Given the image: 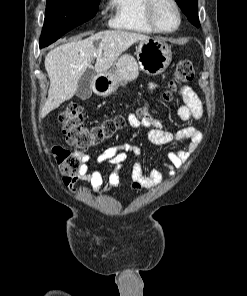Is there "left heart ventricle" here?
I'll return each mask as SVG.
<instances>
[{"instance_id":"obj_1","label":"left heart ventricle","mask_w":247,"mask_h":296,"mask_svg":"<svg viewBox=\"0 0 247 296\" xmlns=\"http://www.w3.org/2000/svg\"><path fill=\"white\" fill-rule=\"evenodd\" d=\"M155 17L160 28L170 30L175 27L177 17L174 8L165 0H160L155 8Z\"/></svg>"}]
</instances>
